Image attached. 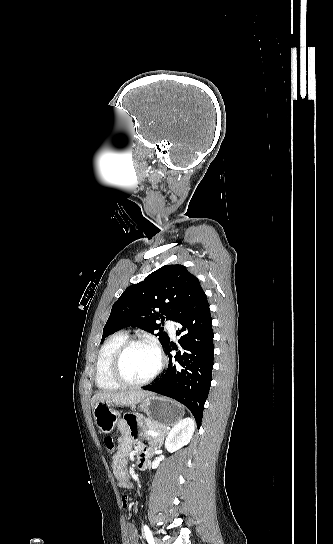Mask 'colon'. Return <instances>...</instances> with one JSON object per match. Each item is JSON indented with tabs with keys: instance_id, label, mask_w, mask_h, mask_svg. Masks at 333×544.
<instances>
[{
	"instance_id": "colon-1",
	"label": "colon",
	"mask_w": 333,
	"mask_h": 544,
	"mask_svg": "<svg viewBox=\"0 0 333 544\" xmlns=\"http://www.w3.org/2000/svg\"><path fill=\"white\" fill-rule=\"evenodd\" d=\"M104 445H105L106 450L109 453H114V451H115V442H114V439L111 436H106L104 438Z\"/></svg>"
}]
</instances>
